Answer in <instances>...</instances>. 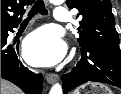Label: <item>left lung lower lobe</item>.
Wrapping results in <instances>:
<instances>
[{"instance_id":"left-lung-lower-lobe-1","label":"left lung lower lobe","mask_w":121,"mask_h":94,"mask_svg":"<svg viewBox=\"0 0 121 94\" xmlns=\"http://www.w3.org/2000/svg\"><path fill=\"white\" fill-rule=\"evenodd\" d=\"M81 53V60L76 67L62 76L64 94L88 81L107 83L121 88L119 47L93 45L81 48Z\"/></svg>"}]
</instances>
